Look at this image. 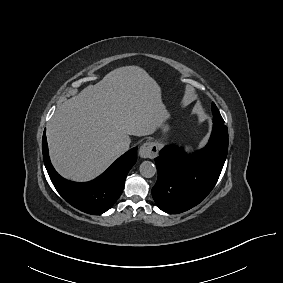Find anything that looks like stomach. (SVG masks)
I'll use <instances>...</instances> for the list:
<instances>
[{
    "label": "stomach",
    "instance_id": "1",
    "mask_svg": "<svg viewBox=\"0 0 283 283\" xmlns=\"http://www.w3.org/2000/svg\"><path fill=\"white\" fill-rule=\"evenodd\" d=\"M162 128H163V131H164V132H167V131L169 130V127H168L167 125H163Z\"/></svg>",
    "mask_w": 283,
    "mask_h": 283
}]
</instances>
